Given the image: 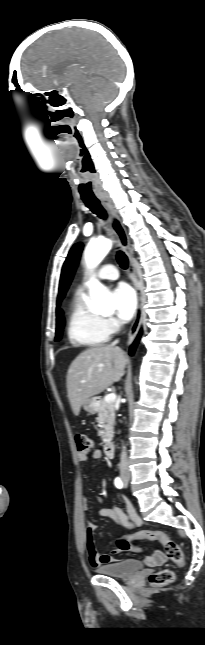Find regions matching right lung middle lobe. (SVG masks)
Wrapping results in <instances>:
<instances>
[{"instance_id": "dd1d6c3e", "label": "right lung middle lobe", "mask_w": 205, "mask_h": 645, "mask_svg": "<svg viewBox=\"0 0 205 645\" xmlns=\"http://www.w3.org/2000/svg\"><path fill=\"white\" fill-rule=\"evenodd\" d=\"M64 323L65 321L63 316L57 319L55 341H59L61 339Z\"/></svg>"}]
</instances>
